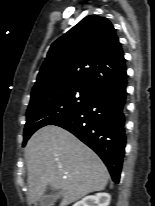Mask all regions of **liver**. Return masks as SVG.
<instances>
[{
    "instance_id": "liver-1",
    "label": "liver",
    "mask_w": 155,
    "mask_h": 206,
    "mask_svg": "<svg viewBox=\"0 0 155 206\" xmlns=\"http://www.w3.org/2000/svg\"><path fill=\"white\" fill-rule=\"evenodd\" d=\"M25 156L29 201L36 204L46 188L61 190L60 206L105 189L109 173L89 147L63 128L48 125L29 139Z\"/></svg>"
}]
</instances>
